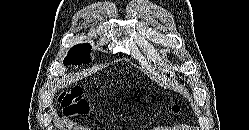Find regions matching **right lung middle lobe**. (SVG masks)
<instances>
[{
    "label": "right lung middle lobe",
    "instance_id": "dd1d6c3e",
    "mask_svg": "<svg viewBox=\"0 0 249 130\" xmlns=\"http://www.w3.org/2000/svg\"><path fill=\"white\" fill-rule=\"evenodd\" d=\"M91 52V46L89 44H79L68 52V55L64 59L63 63L66 64H79V63H89V54Z\"/></svg>",
    "mask_w": 249,
    "mask_h": 130
}]
</instances>
